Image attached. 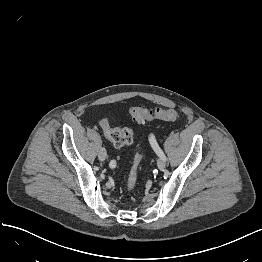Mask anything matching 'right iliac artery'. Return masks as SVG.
Masks as SVG:
<instances>
[{"label":"right iliac artery","mask_w":262,"mask_h":262,"mask_svg":"<svg viewBox=\"0 0 262 262\" xmlns=\"http://www.w3.org/2000/svg\"><path fill=\"white\" fill-rule=\"evenodd\" d=\"M113 164H115V161H113V160L110 161V163H109L110 167H112Z\"/></svg>","instance_id":"obj_1"}]
</instances>
